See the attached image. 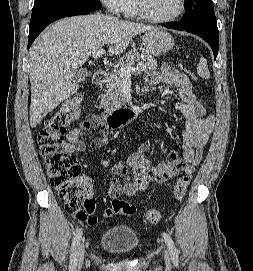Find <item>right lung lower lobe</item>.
Masks as SVG:
<instances>
[{"instance_id":"1","label":"right lung lower lobe","mask_w":253,"mask_h":271,"mask_svg":"<svg viewBox=\"0 0 253 271\" xmlns=\"http://www.w3.org/2000/svg\"><path fill=\"white\" fill-rule=\"evenodd\" d=\"M94 11L93 9H88L81 6L71 7V8H64L55 10L52 12H49L34 22L30 23V32L28 37V48H30L31 44L35 40V38L41 33V31L50 23H52L55 20H58L60 18L64 17H70L75 15H83L88 14L90 12Z\"/></svg>"}]
</instances>
